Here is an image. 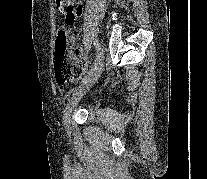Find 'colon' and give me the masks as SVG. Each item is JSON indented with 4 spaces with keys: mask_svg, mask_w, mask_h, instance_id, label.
Returning a JSON list of instances; mask_svg holds the SVG:
<instances>
[{
    "mask_svg": "<svg viewBox=\"0 0 207 179\" xmlns=\"http://www.w3.org/2000/svg\"><path fill=\"white\" fill-rule=\"evenodd\" d=\"M74 0H56L59 11L65 15V23L72 24ZM55 78L59 82L67 83L80 79L85 73L80 51L71 50L66 29L58 31L54 51Z\"/></svg>",
    "mask_w": 207,
    "mask_h": 179,
    "instance_id": "1",
    "label": "colon"
}]
</instances>
